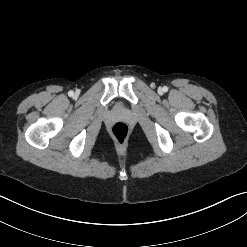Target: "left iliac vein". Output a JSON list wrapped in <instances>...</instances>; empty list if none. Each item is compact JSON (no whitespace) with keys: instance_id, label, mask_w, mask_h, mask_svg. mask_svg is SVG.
I'll use <instances>...</instances> for the list:
<instances>
[{"instance_id":"1","label":"left iliac vein","mask_w":247,"mask_h":247,"mask_svg":"<svg viewBox=\"0 0 247 247\" xmlns=\"http://www.w3.org/2000/svg\"><path fill=\"white\" fill-rule=\"evenodd\" d=\"M158 91L161 93L163 91V89L160 88Z\"/></svg>"}]
</instances>
